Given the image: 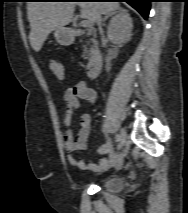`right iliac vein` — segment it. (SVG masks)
Instances as JSON below:
<instances>
[{"mask_svg":"<svg viewBox=\"0 0 188 213\" xmlns=\"http://www.w3.org/2000/svg\"><path fill=\"white\" fill-rule=\"evenodd\" d=\"M126 141V131L125 129H121L119 134V145L118 148L121 149Z\"/></svg>","mask_w":188,"mask_h":213,"instance_id":"obj_1","label":"right iliac vein"}]
</instances>
